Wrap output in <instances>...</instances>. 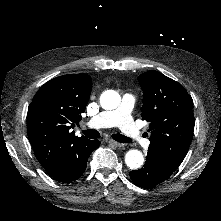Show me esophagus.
<instances>
[{"mask_svg": "<svg viewBox=\"0 0 221 221\" xmlns=\"http://www.w3.org/2000/svg\"><path fill=\"white\" fill-rule=\"evenodd\" d=\"M105 141H106L107 143L111 144V145L116 146V147H121V146H122L121 143H119V142H117V141H114V140H112V139H106Z\"/></svg>", "mask_w": 221, "mask_h": 221, "instance_id": "obj_1", "label": "esophagus"}]
</instances>
